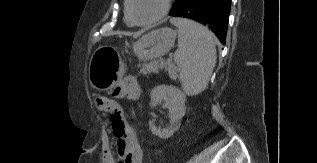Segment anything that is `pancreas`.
<instances>
[{"label": "pancreas", "mask_w": 317, "mask_h": 163, "mask_svg": "<svg viewBox=\"0 0 317 163\" xmlns=\"http://www.w3.org/2000/svg\"><path fill=\"white\" fill-rule=\"evenodd\" d=\"M166 69L168 71L171 70V66L169 62H158V61H152L149 63H143L142 68L140 70L141 73L143 74H148L152 72H157L159 69Z\"/></svg>", "instance_id": "pancreas-1"}]
</instances>
